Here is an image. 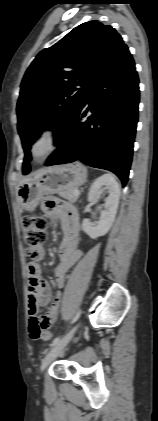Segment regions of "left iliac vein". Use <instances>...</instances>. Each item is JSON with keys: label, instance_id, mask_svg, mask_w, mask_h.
Returning <instances> with one entry per match:
<instances>
[{"label": "left iliac vein", "instance_id": "obj_1", "mask_svg": "<svg viewBox=\"0 0 158 421\" xmlns=\"http://www.w3.org/2000/svg\"><path fill=\"white\" fill-rule=\"evenodd\" d=\"M77 325H75L68 333H66L52 348L51 350L46 354L44 359L42 360L41 364V371H43L52 361H54L59 354L62 352V350L67 346V344L71 341L73 338L76 330Z\"/></svg>", "mask_w": 158, "mask_h": 421}]
</instances>
